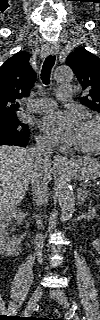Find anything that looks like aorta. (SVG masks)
Here are the masks:
<instances>
[{
	"instance_id": "aorta-1",
	"label": "aorta",
	"mask_w": 100,
	"mask_h": 320,
	"mask_svg": "<svg viewBox=\"0 0 100 320\" xmlns=\"http://www.w3.org/2000/svg\"><path fill=\"white\" fill-rule=\"evenodd\" d=\"M55 80L58 83L69 82L73 78V72L68 66H60L56 69ZM56 196L61 208V218L63 221L71 219L75 210V197L70 184L61 180L56 189Z\"/></svg>"
}]
</instances>
